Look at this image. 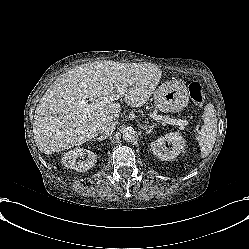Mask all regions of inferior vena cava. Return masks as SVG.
Segmentation results:
<instances>
[{
	"label": "inferior vena cava",
	"instance_id": "1",
	"mask_svg": "<svg viewBox=\"0 0 249 249\" xmlns=\"http://www.w3.org/2000/svg\"><path fill=\"white\" fill-rule=\"evenodd\" d=\"M116 125L117 122H105L99 127V132L105 136L110 135L114 131Z\"/></svg>",
	"mask_w": 249,
	"mask_h": 249
}]
</instances>
